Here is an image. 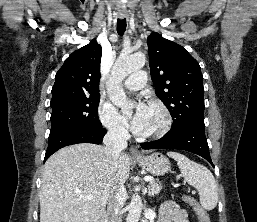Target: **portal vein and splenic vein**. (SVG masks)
<instances>
[{
    "label": "portal vein and splenic vein",
    "instance_id": "obj_1",
    "mask_svg": "<svg viewBox=\"0 0 257 222\" xmlns=\"http://www.w3.org/2000/svg\"><path fill=\"white\" fill-rule=\"evenodd\" d=\"M144 180L150 182V181L153 180V178H152V177H145ZM81 197H83V198H85V199H87V200L93 199V195H85V196H81Z\"/></svg>",
    "mask_w": 257,
    "mask_h": 222
}]
</instances>
